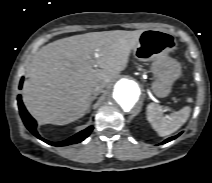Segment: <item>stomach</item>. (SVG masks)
<instances>
[{"label": "stomach", "mask_w": 212, "mask_h": 183, "mask_svg": "<svg viewBox=\"0 0 212 183\" xmlns=\"http://www.w3.org/2000/svg\"><path fill=\"white\" fill-rule=\"evenodd\" d=\"M177 48L173 34L166 30H144L139 41L133 49L134 56L139 61L152 62L151 72L155 76L152 90L159 98L167 97L173 83L181 75L180 63L169 56Z\"/></svg>", "instance_id": "stomach-1"}]
</instances>
